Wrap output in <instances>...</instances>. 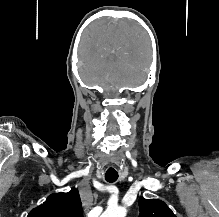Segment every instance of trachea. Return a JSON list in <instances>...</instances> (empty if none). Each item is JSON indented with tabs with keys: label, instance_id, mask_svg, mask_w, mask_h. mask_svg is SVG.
Returning <instances> with one entry per match:
<instances>
[{
	"label": "trachea",
	"instance_id": "1",
	"mask_svg": "<svg viewBox=\"0 0 219 217\" xmlns=\"http://www.w3.org/2000/svg\"><path fill=\"white\" fill-rule=\"evenodd\" d=\"M105 179L107 182L113 183L118 179V173L114 170L113 171L108 170L105 173Z\"/></svg>",
	"mask_w": 219,
	"mask_h": 217
}]
</instances>
